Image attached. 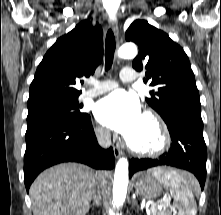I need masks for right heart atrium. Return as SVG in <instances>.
Returning a JSON list of instances; mask_svg holds the SVG:
<instances>
[{
    "instance_id": "right-heart-atrium-1",
    "label": "right heart atrium",
    "mask_w": 221,
    "mask_h": 215,
    "mask_svg": "<svg viewBox=\"0 0 221 215\" xmlns=\"http://www.w3.org/2000/svg\"><path fill=\"white\" fill-rule=\"evenodd\" d=\"M95 134H96L97 138L102 141L108 140V137H109L108 132L100 126L95 127Z\"/></svg>"
}]
</instances>
